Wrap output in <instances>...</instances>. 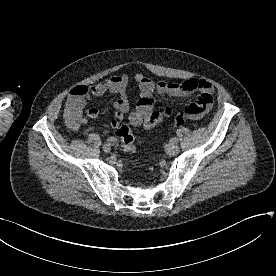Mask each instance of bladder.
I'll return each mask as SVG.
<instances>
[{"instance_id":"31cf9c89","label":"bladder","mask_w":276,"mask_h":276,"mask_svg":"<svg viewBox=\"0 0 276 276\" xmlns=\"http://www.w3.org/2000/svg\"><path fill=\"white\" fill-rule=\"evenodd\" d=\"M132 124L133 125H137L139 122H140V118L139 117H134L132 120H131Z\"/></svg>"}]
</instances>
